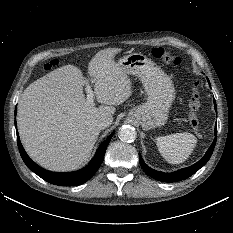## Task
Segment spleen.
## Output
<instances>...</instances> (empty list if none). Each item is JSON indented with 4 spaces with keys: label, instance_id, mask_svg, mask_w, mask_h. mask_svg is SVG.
Instances as JSON below:
<instances>
[{
    "label": "spleen",
    "instance_id": "spleen-1",
    "mask_svg": "<svg viewBox=\"0 0 233 233\" xmlns=\"http://www.w3.org/2000/svg\"><path fill=\"white\" fill-rule=\"evenodd\" d=\"M162 157L171 164L183 163L193 152L197 138L187 132L175 133L156 138Z\"/></svg>",
    "mask_w": 233,
    "mask_h": 233
}]
</instances>
